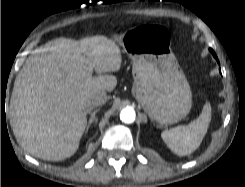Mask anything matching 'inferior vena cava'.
Returning a JSON list of instances; mask_svg holds the SVG:
<instances>
[{
	"instance_id": "1",
	"label": "inferior vena cava",
	"mask_w": 245,
	"mask_h": 187,
	"mask_svg": "<svg viewBox=\"0 0 245 187\" xmlns=\"http://www.w3.org/2000/svg\"><path fill=\"white\" fill-rule=\"evenodd\" d=\"M108 100L107 94L105 91L96 92L90 95L87 101V107H99L104 105Z\"/></svg>"
}]
</instances>
